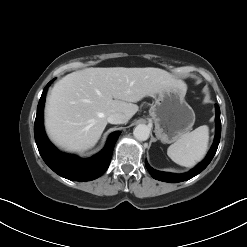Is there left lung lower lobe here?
<instances>
[{
  "label": "left lung lower lobe",
  "mask_w": 247,
  "mask_h": 247,
  "mask_svg": "<svg viewBox=\"0 0 247 247\" xmlns=\"http://www.w3.org/2000/svg\"><path fill=\"white\" fill-rule=\"evenodd\" d=\"M215 107H216V118H215L216 134H215L214 143L208 155L206 156V158L200 164H198L195 168H193L191 171L184 173V174H173V173H167V172H160V171L154 170L148 165L147 162H145L149 173L154 179L164 181V182H170V183L182 182V181H186V180L193 178L194 176L202 172L208 166V164L211 162L212 158L214 157L217 151V148L220 142V136H221L220 108L217 104Z\"/></svg>",
  "instance_id": "obj_1"
}]
</instances>
